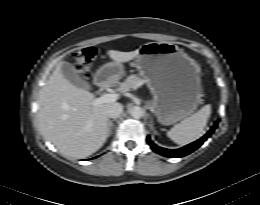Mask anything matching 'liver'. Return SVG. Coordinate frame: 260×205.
Instances as JSON below:
<instances>
[{"label": "liver", "mask_w": 260, "mask_h": 205, "mask_svg": "<svg viewBox=\"0 0 260 205\" xmlns=\"http://www.w3.org/2000/svg\"><path fill=\"white\" fill-rule=\"evenodd\" d=\"M108 56L121 64L136 58L139 50H109ZM56 65L39 95L38 118L43 136L64 155L87 157L98 151L108 137L107 109L114 103L93 106L94 95L69 83Z\"/></svg>", "instance_id": "liver-1"}]
</instances>
